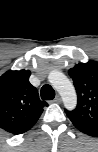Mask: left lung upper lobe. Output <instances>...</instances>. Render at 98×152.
<instances>
[{
    "mask_svg": "<svg viewBox=\"0 0 98 152\" xmlns=\"http://www.w3.org/2000/svg\"><path fill=\"white\" fill-rule=\"evenodd\" d=\"M78 96L72 111L65 109L74 125L98 129V62L79 63L68 71Z\"/></svg>",
    "mask_w": 98,
    "mask_h": 152,
    "instance_id": "left-lung-upper-lobe-1",
    "label": "left lung upper lobe"
}]
</instances>
